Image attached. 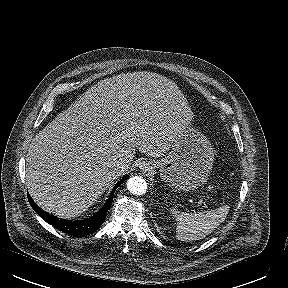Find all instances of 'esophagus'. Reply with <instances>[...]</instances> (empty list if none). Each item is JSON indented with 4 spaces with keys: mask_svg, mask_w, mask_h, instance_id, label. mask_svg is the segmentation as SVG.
<instances>
[{
    "mask_svg": "<svg viewBox=\"0 0 288 288\" xmlns=\"http://www.w3.org/2000/svg\"><path fill=\"white\" fill-rule=\"evenodd\" d=\"M140 167H141L142 169H146V168H148V163L143 162V163H141Z\"/></svg>",
    "mask_w": 288,
    "mask_h": 288,
    "instance_id": "esophagus-1",
    "label": "esophagus"
}]
</instances>
